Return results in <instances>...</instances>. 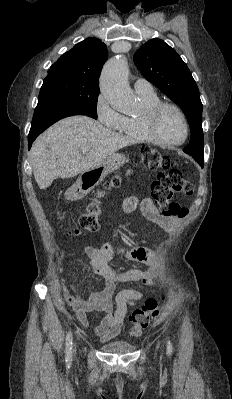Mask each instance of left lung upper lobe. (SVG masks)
<instances>
[{
    "instance_id": "1",
    "label": "left lung upper lobe",
    "mask_w": 232,
    "mask_h": 399,
    "mask_svg": "<svg viewBox=\"0 0 232 399\" xmlns=\"http://www.w3.org/2000/svg\"><path fill=\"white\" fill-rule=\"evenodd\" d=\"M134 63L146 80L158 87L184 111L190 125L191 137L189 145L183 151L197 162H203V105L197 84L187 65L161 39H151L142 45L134 55Z\"/></svg>"
}]
</instances>
